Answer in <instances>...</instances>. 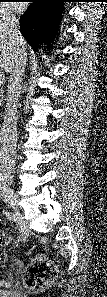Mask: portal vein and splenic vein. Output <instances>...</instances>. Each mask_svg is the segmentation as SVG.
<instances>
[{
	"label": "portal vein and splenic vein",
	"instance_id": "1",
	"mask_svg": "<svg viewBox=\"0 0 107 297\" xmlns=\"http://www.w3.org/2000/svg\"><path fill=\"white\" fill-rule=\"evenodd\" d=\"M0 80H2V81H3V80H4V76H1V77H0Z\"/></svg>",
	"mask_w": 107,
	"mask_h": 297
}]
</instances>
